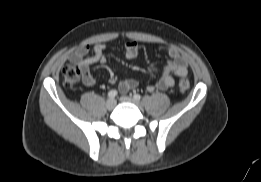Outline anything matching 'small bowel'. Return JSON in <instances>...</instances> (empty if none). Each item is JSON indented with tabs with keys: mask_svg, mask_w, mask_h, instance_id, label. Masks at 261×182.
Returning <instances> with one entry per match:
<instances>
[{
	"mask_svg": "<svg viewBox=\"0 0 261 182\" xmlns=\"http://www.w3.org/2000/svg\"><path fill=\"white\" fill-rule=\"evenodd\" d=\"M106 45L97 43L92 46V55H88L90 51L89 45H84L70 54L69 61L77 65L82 74V81L85 86H93L95 79L91 74L90 66L95 63L104 64L106 56L104 54ZM140 47L137 42L129 41L125 44V57L134 59L139 53ZM166 54L170 58L163 67V71L159 81L155 85H148L147 91L152 92L155 89H167L175 83L174 76L185 77L188 74V60L175 47H168ZM138 86L135 79H125L119 82L118 88L121 92H127Z\"/></svg>",
	"mask_w": 261,
	"mask_h": 182,
	"instance_id": "obj_1",
	"label": "small bowel"
}]
</instances>
